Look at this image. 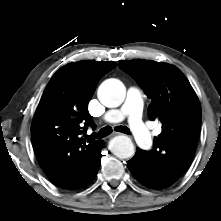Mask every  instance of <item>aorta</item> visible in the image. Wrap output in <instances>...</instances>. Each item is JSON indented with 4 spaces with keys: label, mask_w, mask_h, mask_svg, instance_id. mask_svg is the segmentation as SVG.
<instances>
[{
    "label": "aorta",
    "mask_w": 221,
    "mask_h": 221,
    "mask_svg": "<svg viewBox=\"0 0 221 221\" xmlns=\"http://www.w3.org/2000/svg\"><path fill=\"white\" fill-rule=\"evenodd\" d=\"M126 95L124 84L118 79H107L98 88L99 101L108 108L120 106ZM111 152L119 159L131 158L135 154V148L131 139L127 136H116L110 142Z\"/></svg>",
    "instance_id": "aorta-1"
}]
</instances>
